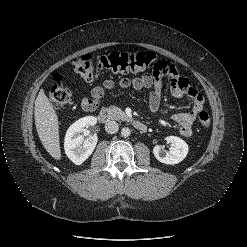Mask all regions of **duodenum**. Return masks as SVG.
Returning <instances> with one entry per match:
<instances>
[{
    "instance_id": "obj_1",
    "label": "duodenum",
    "mask_w": 247,
    "mask_h": 247,
    "mask_svg": "<svg viewBox=\"0 0 247 247\" xmlns=\"http://www.w3.org/2000/svg\"><path fill=\"white\" fill-rule=\"evenodd\" d=\"M98 120L102 123H106L110 120V113L107 109H102L99 114H98ZM134 127L139 130V131H146L147 130V126L146 124H144L141 121H134L133 122Z\"/></svg>"
}]
</instances>
